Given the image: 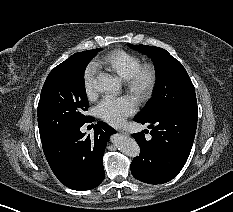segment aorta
Wrapping results in <instances>:
<instances>
[{
  "mask_svg": "<svg viewBox=\"0 0 233 212\" xmlns=\"http://www.w3.org/2000/svg\"><path fill=\"white\" fill-rule=\"evenodd\" d=\"M94 88L98 92L117 93L120 88V82L117 78L109 74L101 73L94 82ZM111 141L118 150L129 157H137L140 154L138 143L131 137L116 134L112 136Z\"/></svg>",
  "mask_w": 233,
  "mask_h": 212,
  "instance_id": "1",
  "label": "aorta"
}]
</instances>
